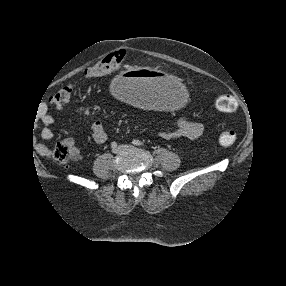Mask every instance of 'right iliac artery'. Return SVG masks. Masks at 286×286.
<instances>
[{
	"label": "right iliac artery",
	"mask_w": 286,
	"mask_h": 286,
	"mask_svg": "<svg viewBox=\"0 0 286 286\" xmlns=\"http://www.w3.org/2000/svg\"><path fill=\"white\" fill-rule=\"evenodd\" d=\"M111 147H112V148H116V147H117V143H116V142H112V143H111Z\"/></svg>",
	"instance_id": "1"
}]
</instances>
